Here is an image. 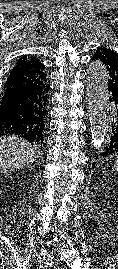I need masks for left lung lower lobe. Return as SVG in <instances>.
<instances>
[{"label":"left lung lower lobe","instance_id":"0a47b994","mask_svg":"<svg viewBox=\"0 0 118 269\" xmlns=\"http://www.w3.org/2000/svg\"><path fill=\"white\" fill-rule=\"evenodd\" d=\"M109 103L111 105L108 111L107 134L101 146V157L118 155V97L111 95L109 97ZM92 165L94 166L95 163Z\"/></svg>","mask_w":118,"mask_h":269}]
</instances>
